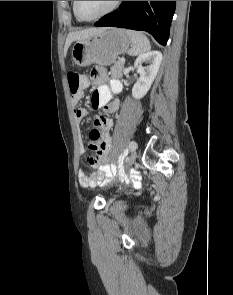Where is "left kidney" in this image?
I'll list each match as a JSON object with an SVG mask.
<instances>
[{
  "label": "left kidney",
  "instance_id": "1",
  "mask_svg": "<svg viewBox=\"0 0 233 295\" xmlns=\"http://www.w3.org/2000/svg\"><path fill=\"white\" fill-rule=\"evenodd\" d=\"M161 61L162 54L157 50L143 53L137 57L134 67L140 74V78L132 89V96L135 99H141L147 94L157 75ZM144 63H149V66L145 68Z\"/></svg>",
  "mask_w": 233,
  "mask_h": 295
}]
</instances>
